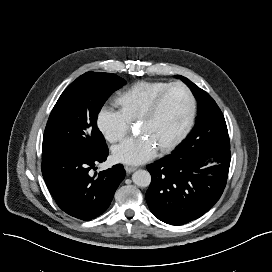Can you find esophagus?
<instances>
[{"label":"esophagus","mask_w":272,"mask_h":272,"mask_svg":"<svg viewBox=\"0 0 272 272\" xmlns=\"http://www.w3.org/2000/svg\"><path fill=\"white\" fill-rule=\"evenodd\" d=\"M136 169H137V167H135V166H129V165H126V166H125V170H126L127 173H132V172H134Z\"/></svg>","instance_id":"34e87169"}]
</instances>
